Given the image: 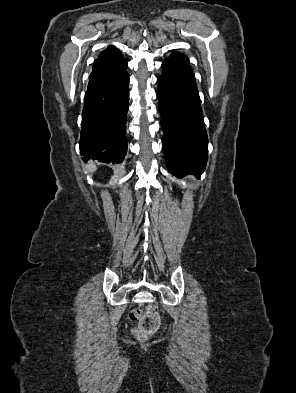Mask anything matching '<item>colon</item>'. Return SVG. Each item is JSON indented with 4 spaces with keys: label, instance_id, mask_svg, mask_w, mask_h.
I'll use <instances>...</instances> for the list:
<instances>
[{
    "label": "colon",
    "instance_id": "5ec220e1",
    "mask_svg": "<svg viewBox=\"0 0 296 393\" xmlns=\"http://www.w3.org/2000/svg\"><path fill=\"white\" fill-rule=\"evenodd\" d=\"M130 317L132 320L138 322L133 332L139 338L145 339L150 337L160 327L158 308L154 305H147L143 309H135L131 312Z\"/></svg>",
    "mask_w": 296,
    "mask_h": 393
}]
</instances>
